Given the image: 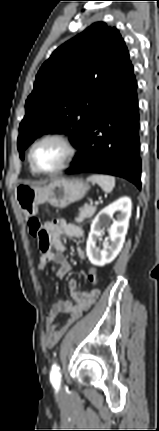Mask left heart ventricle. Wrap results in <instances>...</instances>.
Wrapping results in <instances>:
<instances>
[{
  "instance_id": "obj_1",
  "label": "left heart ventricle",
  "mask_w": 159,
  "mask_h": 431,
  "mask_svg": "<svg viewBox=\"0 0 159 431\" xmlns=\"http://www.w3.org/2000/svg\"><path fill=\"white\" fill-rule=\"evenodd\" d=\"M66 157V148L57 141L48 140L37 145L33 151L35 165L45 171L57 168Z\"/></svg>"
}]
</instances>
